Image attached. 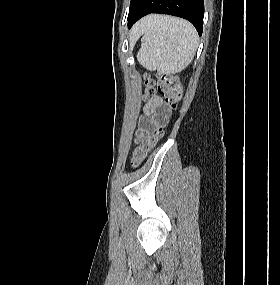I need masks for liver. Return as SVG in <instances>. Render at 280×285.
<instances>
[{
    "label": "liver",
    "mask_w": 280,
    "mask_h": 285,
    "mask_svg": "<svg viewBox=\"0 0 280 285\" xmlns=\"http://www.w3.org/2000/svg\"><path fill=\"white\" fill-rule=\"evenodd\" d=\"M148 18H149V17H148ZM148 18L144 19V20L141 22L140 25H142Z\"/></svg>",
    "instance_id": "6515ba94"
}]
</instances>
